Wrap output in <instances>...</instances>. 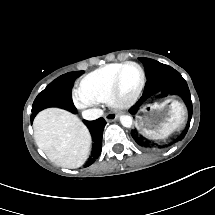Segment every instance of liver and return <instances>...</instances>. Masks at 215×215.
<instances>
[{
    "label": "liver",
    "mask_w": 215,
    "mask_h": 215,
    "mask_svg": "<svg viewBox=\"0 0 215 215\" xmlns=\"http://www.w3.org/2000/svg\"><path fill=\"white\" fill-rule=\"evenodd\" d=\"M37 146L59 166L76 169L90 156L92 137L88 127L74 113L59 107L39 111L33 120Z\"/></svg>",
    "instance_id": "1"
}]
</instances>
